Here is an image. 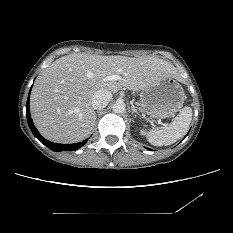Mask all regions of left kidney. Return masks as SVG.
Instances as JSON below:
<instances>
[{
    "label": "left kidney",
    "instance_id": "left-kidney-1",
    "mask_svg": "<svg viewBox=\"0 0 233 233\" xmlns=\"http://www.w3.org/2000/svg\"><path fill=\"white\" fill-rule=\"evenodd\" d=\"M140 134H141V135H143V134H144V131H143V130H141V131H140Z\"/></svg>",
    "mask_w": 233,
    "mask_h": 233
}]
</instances>
